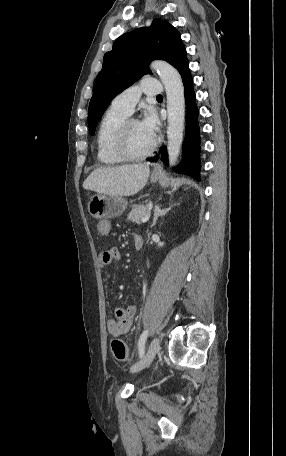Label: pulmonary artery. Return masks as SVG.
Here are the masks:
<instances>
[{
  "label": "pulmonary artery",
  "instance_id": "e3ab8cb5",
  "mask_svg": "<svg viewBox=\"0 0 286 456\" xmlns=\"http://www.w3.org/2000/svg\"><path fill=\"white\" fill-rule=\"evenodd\" d=\"M160 93L159 80L155 77H145L139 84L132 85L118 94L113 99L111 106L130 115L142 94L156 96Z\"/></svg>",
  "mask_w": 286,
  "mask_h": 456
}]
</instances>
